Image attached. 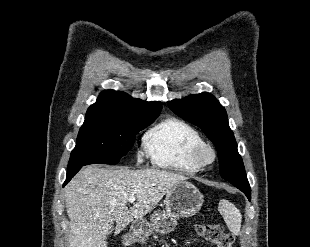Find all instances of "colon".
<instances>
[{"mask_svg": "<svg viewBox=\"0 0 310 247\" xmlns=\"http://www.w3.org/2000/svg\"><path fill=\"white\" fill-rule=\"evenodd\" d=\"M196 232L215 247H234V237L220 224H200Z\"/></svg>", "mask_w": 310, "mask_h": 247, "instance_id": "1", "label": "colon"}]
</instances>
